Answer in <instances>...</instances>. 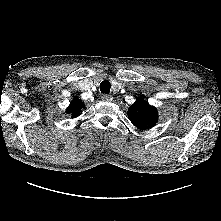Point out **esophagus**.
Instances as JSON below:
<instances>
[{"mask_svg": "<svg viewBox=\"0 0 221 221\" xmlns=\"http://www.w3.org/2000/svg\"><path fill=\"white\" fill-rule=\"evenodd\" d=\"M101 98H102V100H104V101H112V100H113L112 95H107V94H103V95L101 96Z\"/></svg>", "mask_w": 221, "mask_h": 221, "instance_id": "1", "label": "esophagus"}]
</instances>
